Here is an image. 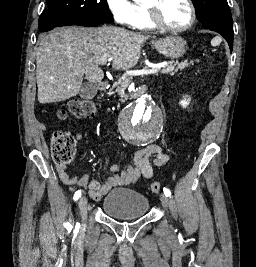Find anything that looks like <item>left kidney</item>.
I'll use <instances>...</instances> for the list:
<instances>
[{
	"label": "left kidney",
	"mask_w": 256,
	"mask_h": 267,
	"mask_svg": "<svg viewBox=\"0 0 256 267\" xmlns=\"http://www.w3.org/2000/svg\"><path fill=\"white\" fill-rule=\"evenodd\" d=\"M180 106H182V108H186V106H188V104H190V98H188V100H186V98H184V100H181V102H179Z\"/></svg>",
	"instance_id": "1"
}]
</instances>
